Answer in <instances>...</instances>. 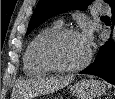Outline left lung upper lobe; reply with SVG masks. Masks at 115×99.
Here are the masks:
<instances>
[{"label":"left lung upper lobe","instance_id":"obj_1","mask_svg":"<svg viewBox=\"0 0 115 99\" xmlns=\"http://www.w3.org/2000/svg\"><path fill=\"white\" fill-rule=\"evenodd\" d=\"M92 1L93 0H39L30 19L26 34H29L34 28L50 17L72 9L84 10ZM104 1L108 3L110 7L115 3V0Z\"/></svg>","mask_w":115,"mask_h":99}]
</instances>
